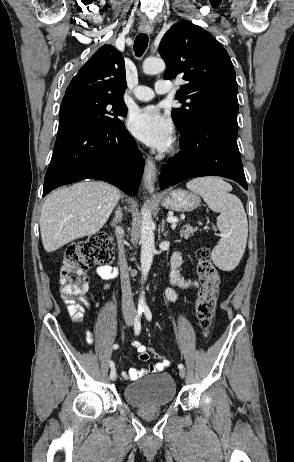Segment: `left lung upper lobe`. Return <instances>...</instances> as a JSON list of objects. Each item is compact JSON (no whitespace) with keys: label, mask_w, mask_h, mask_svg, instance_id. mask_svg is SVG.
Here are the masks:
<instances>
[{"label":"left lung upper lobe","mask_w":294,"mask_h":462,"mask_svg":"<svg viewBox=\"0 0 294 462\" xmlns=\"http://www.w3.org/2000/svg\"><path fill=\"white\" fill-rule=\"evenodd\" d=\"M158 50L167 65L163 77L172 79L182 74L186 81L176 95L183 105L172 110L181 135L216 107H238L233 64L209 32L189 21L178 22L163 36Z\"/></svg>","instance_id":"obj_1"}]
</instances>
